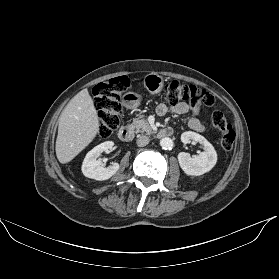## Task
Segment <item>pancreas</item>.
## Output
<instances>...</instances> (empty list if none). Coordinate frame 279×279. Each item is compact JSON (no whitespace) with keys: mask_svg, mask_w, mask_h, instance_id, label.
Returning <instances> with one entry per match:
<instances>
[{"mask_svg":"<svg viewBox=\"0 0 279 279\" xmlns=\"http://www.w3.org/2000/svg\"><path fill=\"white\" fill-rule=\"evenodd\" d=\"M128 127L135 129L136 132H146L147 134L153 133V127L143 117L133 119V123L129 124Z\"/></svg>","mask_w":279,"mask_h":279,"instance_id":"pancreas-1","label":"pancreas"}]
</instances>
